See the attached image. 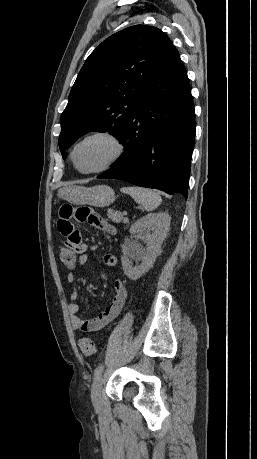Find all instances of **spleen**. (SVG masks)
<instances>
[{"label":"spleen","instance_id":"3e777b00","mask_svg":"<svg viewBox=\"0 0 257 459\" xmlns=\"http://www.w3.org/2000/svg\"><path fill=\"white\" fill-rule=\"evenodd\" d=\"M122 192L129 194L136 203L143 206L146 211L155 210L162 202L161 196L154 190L141 187H125Z\"/></svg>","mask_w":257,"mask_h":459}]
</instances>
